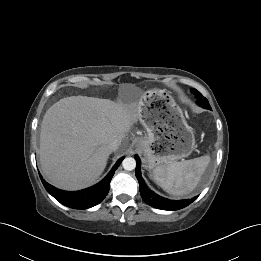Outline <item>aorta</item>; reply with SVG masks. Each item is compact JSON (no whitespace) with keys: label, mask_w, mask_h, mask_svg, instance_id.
Listing matches in <instances>:
<instances>
[{"label":"aorta","mask_w":261,"mask_h":261,"mask_svg":"<svg viewBox=\"0 0 261 261\" xmlns=\"http://www.w3.org/2000/svg\"><path fill=\"white\" fill-rule=\"evenodd\" d=\"M122 166L125 170L131 171L136 167V161L132 157H127L122 161Z\"/></svg>","instance_id":"762f6f07"}]
</instances>
